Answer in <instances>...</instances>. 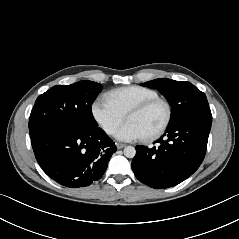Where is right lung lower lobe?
<instances>
[{"instance_id": "1", "label": "right lung lower lobe", "mask_w": 239, "mask_h": 239, "mask_svg": "<svg viewBox=\"0 0 239 239\" xmlns=\"http://www.w3.org/2000/svg\"><path fill=\"white\" fill-rule=\"evenodd\" d=\"M31 139L43 171L70 188L85 187L99 180L117 150L98 125L87 129L47 128Z\"/></svg>"}]
</instances>
